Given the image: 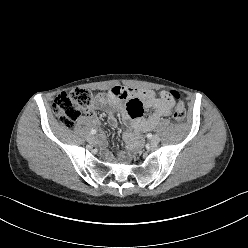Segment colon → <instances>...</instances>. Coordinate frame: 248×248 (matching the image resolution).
<instances>
[{"mask_svg":"<svg viewBox=\"0 0 248 248\" xmlns=\"http://www.w3.org/2000/svg\"><path fill=\"white\" fill-rule=\"evenodd\" d=\"M164 97L174 105L173 117L178 122L185 120L186 112L183 100L175 91H163ZM97 96L85 89H75L69 93L59 94L52 104L54 114L66 127H73L82 110L90 108L95 104Z\"/></svg>","mask_w":248,"mask_h":248,"instance_id":"obj_1","label":"colon"}]
</instances>
